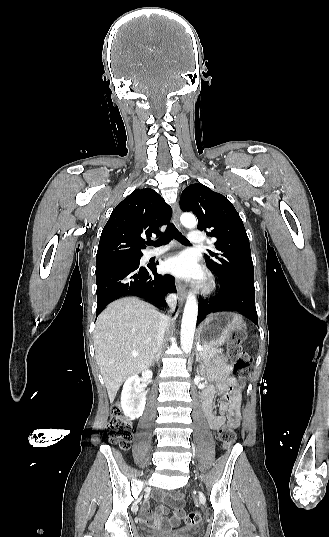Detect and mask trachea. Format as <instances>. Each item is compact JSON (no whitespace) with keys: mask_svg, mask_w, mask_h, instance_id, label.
<instances>
[{"mask_svg":"<svg viewBox=\"0 0 329 537\" xmlns=\"http://www.w3.org/2000/svg\"><path fill=\"white\" fill-rule=\"evenodd\" d=\"M172 238H175L183 244L190 245V242L178 231V229L172 223L168 225L165 233L158 240L150 241L148 242V244L158 247L169 242Z\"/></svg>","mask_w":329,"mask_h":537,"instance_id":"1","label":"trachea"}]
</instances>
